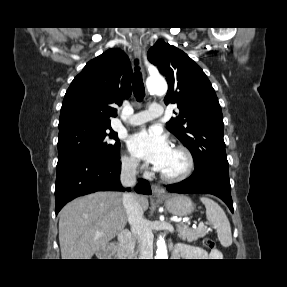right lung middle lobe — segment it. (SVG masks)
Listing matches in <instances>:
<instances>
[{
  "instance_id": "obj_1",
  "label": "right lung middle lobe",
  "mask_w": 287,
  "mask_h": 287,
  "mask_svg": "<svg viewBox=\"0 0 287 287\" xmlns=\"http://www.w3.org/2000/svg\"><path fill=\"white\" fill-rule=\"evenodd\" d=\"M85 156L105 161L120 160V142L111 126L74 123L59 128L58 161Z\"/></svg>"
}]
</instances>
